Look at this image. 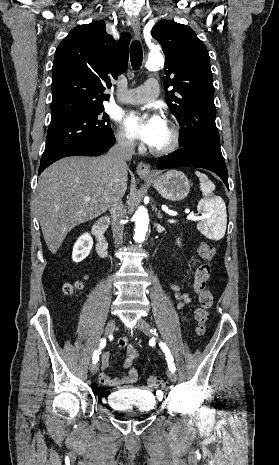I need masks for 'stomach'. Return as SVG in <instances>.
Returning <instances> with one entry per match:
<instances>
[{"label":"stomach","instance_id":"obj_1","mask_svg":"<svg viewBox=\"0 0 279 465\" xmlns=\"http://www.w3.org/2000/svg\"><path fill=\"white\" fill-rule=\"evenodd\" d=\"M143 179L150 182L163 198L171 201L183 200L190 190L186 175L178 170H169L163 175Z\"/></svg>","mask_w":279,"mask_h":465}]
</instances>
